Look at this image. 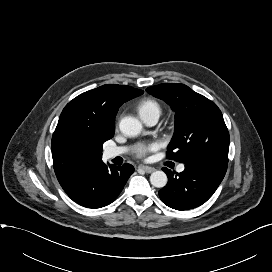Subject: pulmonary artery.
<instances>
[{"instance_id": "pulmonary-artery-1", "label": "pulmonary artery", "mask_w": 272, "mask_h": 272, "mask_svg": "<svg viewBox=\"0 0 272 272\" xmlns=\"http://www.w3.org/2000/svg\"><path fill=\"white\" fill-rule=\"evenodd\" d=\"M141 119L143 120V122L149 126L155 125L159 119V115L157 114H151L145 117H141ZM128 151L127 147H123V146H115V147H109L104 151V157L106 159H111V158H115L117 156H121L123 154H125ZM185 169L183 164H180L177 167V170L179 172H182Z\"/></svg>"}]
</instances>
